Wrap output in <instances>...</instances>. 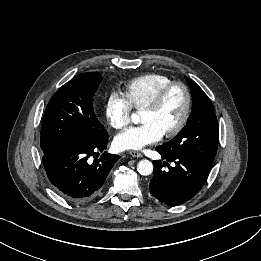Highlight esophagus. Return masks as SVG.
<instances>
[{
	"label": "esophagus",
	"instance_id": "esophagus-1",
	"mask_svg": "<svg viewBox=\"0 0 261 261\" xmlns=\"http://www.w3.org/2000/svg\"><path fill=\"white\" fill-rule=\"evenodd\" d=\"M129 154L132 157H137V158H141L143 156L140 152H137V151H130Z\"/></svg>",
	"mask_w": 261,
	"mask_h": 261
}]
</instances>
